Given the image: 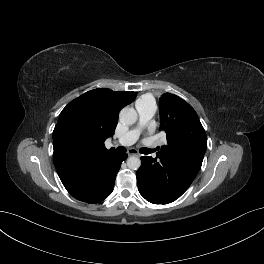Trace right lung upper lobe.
Here are the masks:
<instances>
[{
  "label": "right lung upper lobe",
  "mask_w": 264,
  "mask_h": 264,
  "mask_svg": "<svg viewBox=\"0 0 264 264\" xmlns=\"http://www.w3.org/2000/svg\"><path fill=\"white\" fill-rule=\"evenodd\" d=\"M136 98L135 92L94 89L71 101L60 113L53 131V161L72 196H87L96 186L94 176L112 154L105 140L113 136L118 114Z\"/></svg>",
  "instance_id": "right-lung-upper-lobe-1"
}]
</instances>
